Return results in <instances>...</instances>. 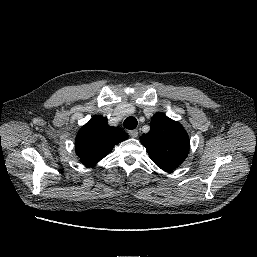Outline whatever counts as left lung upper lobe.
Masks as SVG:
<instances>
[{
    "label": "left lung upper lobe",
    "mask_w": 257,
    "mask_h": 257,
    "mask_svg": "<svg viewBox=\"0 0 257 257\" xmlns=\"http://www.w3.org/2000/svg\"><path fill=\"white\" fill-rule=\"evenodd\" d=\"M140 141L152 159L161 169L171 171L187 157L189 137L179 122L164 114L152 117L150 131L140 137Z\"/></svg>",
    "instance_id": "left-lung-upper-lobe-1"
}]
</instances>
